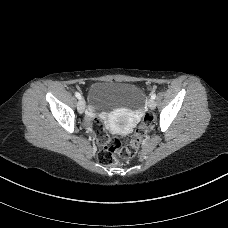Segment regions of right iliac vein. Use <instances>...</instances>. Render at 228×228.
<instances>
[{
  "label": "right iliac vein",
  "mask_w": 228,
  "mask_h": 228,
  "mask_svg": "<svg viewBox=\"0 0 228 228\" xmlns=\"http://www.w3.org/2000/svg\"><path fill=\"white\" fill-rule=\"evenodd\" d=\"M77 109H78V112L80 114H82L85 111V101H84V99L81 98L78 101Z\"/></svg>",
  "instance_id": "obj_1"
}]
</instances>
